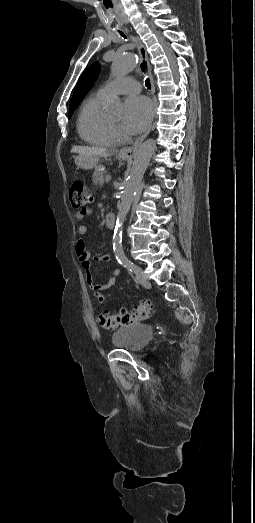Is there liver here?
<instances>
[{"label": "liver", "instance_id": "liver-1", "mask_svg": "<svg viewBox=\"0 0 255 523\" xmlns=\"http://www.w3.org/2000/svg\"><path fill=\"white\" fill-rule=\"evenodd\" d=\"M71 152L74 154H80V156H85V158H92V156H100V158H108L112 154H108L105 148H88V146H74Z\"/></svg>", "mask_w": 255, "mask_h": 523}]
</instances>
